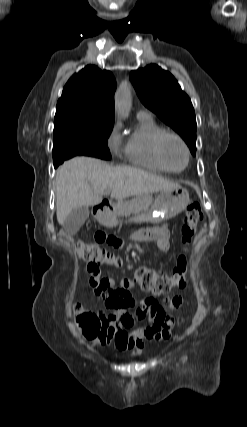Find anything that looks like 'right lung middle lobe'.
<instances>
[{
  "label": "right lung middle lobe",
  "mask_w": 247,
  "mask_h": 427,
  "mask_svg": "<svg viewBox=\"0 0 247 427\" xmlns=\"http://www.w3.org/2000/svg\"><path fill=\"white\" fill-rule=\"evenodd\" d=\"M114 122L94 121L76 113H60L54 118L53 161L77 155L109 160L107 147Z\"/></svg>",
  "instance_id": "dd1d6c3e"
}]
</instances>
